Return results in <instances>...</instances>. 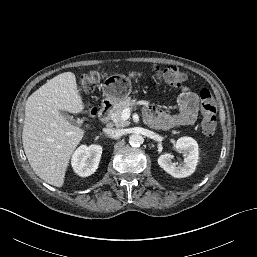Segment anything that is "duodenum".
Wrapping results in <instances>:
<instances>
[{"instance_id":"410a0bca","label":"duodenum","mask_w":257,"mask_h":257,"mask_svg":"<svg viewBox=\"0 0 257 257\" xmlns=\"http://www.w3.org/2000/svg\"><path fill=\"white\" fill-rule=\"evenodd\" d=\"M113 105L110 102H105L99 111V117L102 121H107L110 117Z\"/></svg>"}]
</instances>
